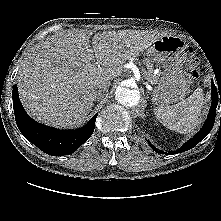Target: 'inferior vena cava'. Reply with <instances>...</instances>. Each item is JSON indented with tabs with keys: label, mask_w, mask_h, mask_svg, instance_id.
<instances>
[{
	"label": "inferior vena cava",
	"mask_w": 221,
	"mask_h": 221,
	"mask_svg": "<svg viewBox=\"0 0 221 221\" xmlns=\"http://www.w3.org/2000/svg\"><path fill=\"white\" fill-rule=\"evenodd\" d=\"M108 92L107 86H102L93 93L94 100L103 98Z\"/></svg>",
	"instance_id": "obj_1"
}]
</instances>
